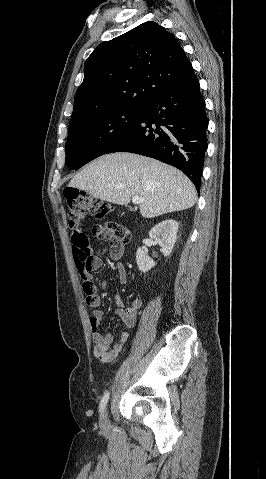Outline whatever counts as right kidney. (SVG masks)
I'll list each match as a JSON object with an SVG mask.
<instances>
[{
  "label": "right kidney",
  "mask_w": 266,
  "mask_h": 479,
  "mask_svg": "<svg viewBox=\"0 0 266 479\" xmlns=\"http://www.w3.org/2000/svg\"><path fill=\"white\" fill-rule=\"evenodd\" d=\"M178 228L179 224L177 221L167 219L155 225L149 232V237L159 244L165 257L169 256L173 250ZM136 263L139 270L143 273L148 272L155 266V262L150 260L142 248H138L136 252Z\"/></svg>",
  "instance_id": "obj_1"
}]
</instances>
